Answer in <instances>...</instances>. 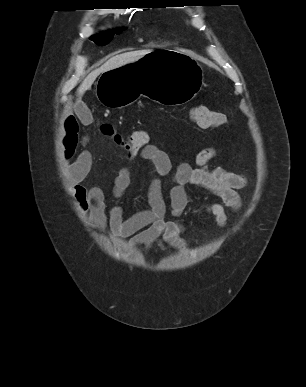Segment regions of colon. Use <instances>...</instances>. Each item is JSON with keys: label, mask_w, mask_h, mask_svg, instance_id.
Masks as SVG:
<instances>
[{"label": "colon", "mask_w": 306, "mask_h": 387, "mask_svg": "<svg viewBox=\"0 0 306 387\" xmlns=\"http://www.w3.org/2000/svg\"><path fill=\"white\" fill-rule=\"evenodd\" d=\"M191 120L201 128H214L225 123V115L205 105H197L190 110ZM101 133L108 138L126 156L135 155L149 144V134L139 129L124 137L112 125L104 123L100 126Z\"/></svg>", "instance_id": "5ec220e1"}]
</instances>
